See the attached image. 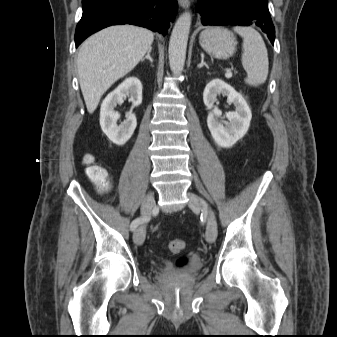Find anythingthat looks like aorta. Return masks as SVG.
Listing matches in <instances>:
<instances>
[{
    "label": "aorta",
    "mask_w": 337,
    "mask_h": 337,
    "mask_svg": "<svg viewBox=\"0 0 337 337\" xmlns=\"http://www.w3.org/2000/svg\"><path fill=\"white\" fill-rule=\"evenodd\" d=\"M192 16L189 11L180 15L171 33L169 42V65L174 74H180L184 68L186 49Z\"/></svg>",
    "instance_id": "aorta-1"
}]
</instances>
